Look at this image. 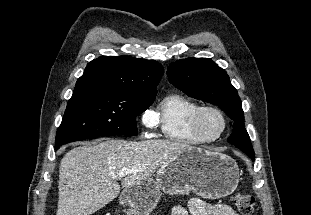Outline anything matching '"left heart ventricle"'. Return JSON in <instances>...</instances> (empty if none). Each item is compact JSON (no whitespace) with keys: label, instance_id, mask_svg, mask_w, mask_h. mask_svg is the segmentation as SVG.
I'll return each mask as SVG.
<instances>
[{"label":"left heart ventricle","instance_id":"1","mask_svg":"<svg viewBox=\"0 0 311 215\" xmlns=\"http://www.w3.org/2000/svg\"><path fill=\"white\" fill-rule=\"evenodd\" d=\"M202 126L207 134L214 136L220 131L222 121L216 113L208 111L202 117Z\"/></svg>","mask_w":311,"mask_h":215}]
</instances>
